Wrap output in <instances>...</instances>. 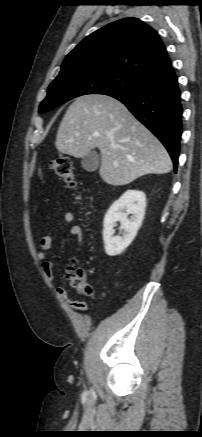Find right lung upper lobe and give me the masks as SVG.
Masks as SVG:
<instances>
[{
	"label": "right lung upper lobe",
	"instance_id": "1",
	"mask_svg": "<svg viewBox=\"0 0 202 437\" xmlns=\"http://www.w3.org/2000/svg\"><path fill=\"white\" fill-rule=\"evenodd\" d=\"M170 66L158 33L137 18H125L83 39L66 56L59 75L83 69L118 72L147 81Z\"/></svg>",
	"mask_w": 202,
	"mask_h": 437
}]
</instances>
